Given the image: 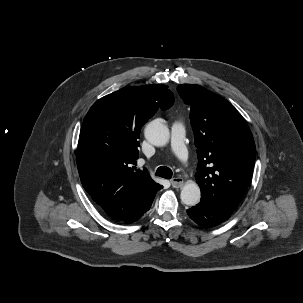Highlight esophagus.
<instances>
[{"instance_id":"esophagus-1","label":"esophagus","mask_w":303,"mask_h":303,"mask_svg":"<svg viewBox=\"0 0 303 303\" xmlns=\"http://www.w3.org/2000/svg\"><path fill=\"white\" fill-rule=\"evenodd\" d=\"M171 184L174 188H180L184 185V181L182 177H174L171 179Z\"/></svg>"}]
</instances>
